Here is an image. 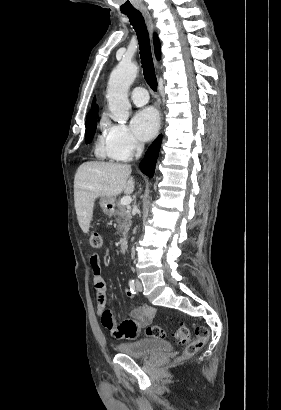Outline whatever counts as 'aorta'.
Wrapping results in <instances>:
<instances>
[{
  "instance_id": "762f6f07",
  "label": "aorta",
  "mask_w": 281,
  "mask_h": 410,
  "mask_svg": "<svg viewBox=\"0 0 281 410\" xmlns=\"http://www.w3.org/2000/svg\"><path fill=\"white\" fill-rule=\"evenodd\" d=\"M138 73V66L121 62L111 72L107 86L108 107L114 121L126 123L131 107L128 90Z\"/></svg>"
}]
</instances>
